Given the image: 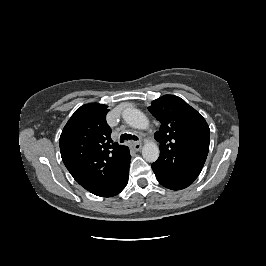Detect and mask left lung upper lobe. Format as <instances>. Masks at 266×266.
I'll use <instances>...</instances> for the list:
<instances>
[{
	"label": "left lung upper lobe",
	"mask_w": 266,
	"mask_h": 266,
	"mask_svg": "<svg viewBox=\"0 0 266 266\" xmlns=\"http://www.w3.org/2000/svg\"><path fill=\"white\" fill-rule=\"evenodd\" d=\"M148 110L161 122L155 139L160 156L152 168L174 181L192 183L200 174L209 151L210 129L205 119L183 99L165 95Z\"/></svg>",
	"instance_id": "1"
}]
</instances>
